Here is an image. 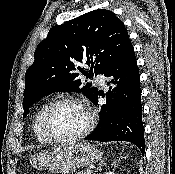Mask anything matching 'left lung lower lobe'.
Wrapping results in <instances>:
<instances>
[{"label":"left lung lower lobe","mask_w":175,"mask_h":174,"mask_svg":"<svg viewBox=\"0 0 175 174\" xmlns=\"http://www.w3.org/2000/svg\"><path fill=\"white\" fill-rule=\"evenodd\" d=\"M110 78L107 83L115 86L103 95L106 104L100 106V120L97 128L86 140L129 141L145 153L144 127L142 121V104L140 75L132 43H130L118 60L104 73ZM98 95L92 102L98 104Z\"/></svg>","instance_id":"left-lung-lower-lobe-1"}]
</instances>
